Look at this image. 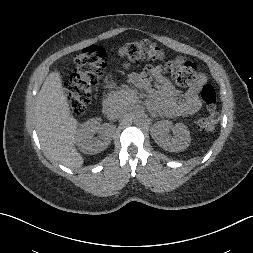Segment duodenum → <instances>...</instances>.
I'll return each instance as SVG.
<instances>
[{
  "mask_svg": "<svg viewBox=\"0 0 253 253\" xmlns=\"http://www.w3.org/2000/svg\"><path fill=\"white\" fill-rule=\"evenodd\" d=\"M112 103L108 98H105L102 102L103 111L108 112L111 110Z\"/></svg>",
  "mask_w": 253,
  "mask_h": 253,
  "instance_id": "1",
  "label": "duodenum"
}]
</instances>
